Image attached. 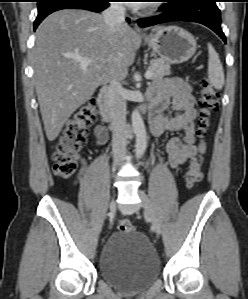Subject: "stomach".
Listing matches in <instances>:
<instances>
[{
    "instance_id": "1",
    "label": "stomach",
    "mask_w": 248,
    "mask_h": 299,
    "mask_svg": "<svg viewBox=\"0 0 248 299\" xmlns=\"http://www.w3.org/2000/svg\"><path fill=\"white\" fill-rule=\"evenodd\" d=\"M148 46L169 64L189 60L196 52V40L187 30L178 26L160 27L144 38Z\"/></svg>"
}]
</instances>
